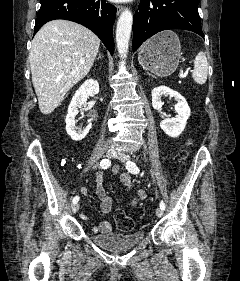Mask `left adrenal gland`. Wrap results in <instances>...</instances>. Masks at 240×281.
Listing matches in <instances>:
<instances>
[{
    "mask_svg": "<svg viewBox=\"0 0 240 281\" xmlns=\"http://www.w3.org/2000/svg\"><path fill=\"white\" fill-rule=\"evenodd\" d=\"M147 74L150 75V76H152V77H154L152 74H150V73H148V72H147Z\"/></svg>",
    "mask_w": 240,
    "mask_h": 281,
    "instance_id": "left-adrenal-gland-1",
    "label": "left adrenal gland"
}]
</instances>
